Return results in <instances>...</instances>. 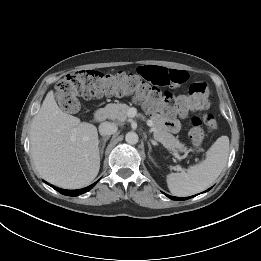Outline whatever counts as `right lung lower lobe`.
I'll list each match as a JSON object with an SVG mask.
<instances>
[{
    "mask_svg": "<svg viewBox=\"0 0 261 261\" xmlns=\"http://www.w3.org/2000/svg\"><path fill=\"white\" fill-rule=\"evenodd\" d=\"M47 183V182H46ZM48 185H50L49 183H47ZM96 183L88 186V187H85L83 189H78V190H64V189H60V188H57L53 185H50L52 188H54L55 190H57L58 192H60L61 194L63 195H67V196H77V195H80V194H83L87 191H89Z\"/></svg>",
    "mask_w": 261,
    "mask_h": 261,
    "instance_id": "1",
    "label": "right lung lower lobe"
}]
</instances>
